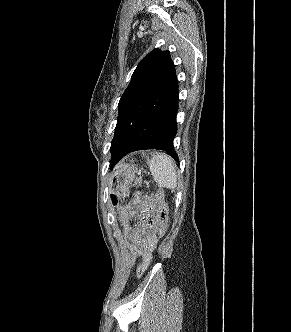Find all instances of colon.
Listing matches in <instances>:
<instances>
[{
	"label": "colon",
	"instance_id": "5ec220e1",
	"mask_svg": "<svg viewBox=\"0 0 291 332\" xmlns=\"http://www.w3.org/2000/svg\"><path fill=\"white\" fill-rule=\"evenodd\" d=\"M139 217L142 226L149 228L157 223L161 233L167 230V208L162 190L156 192L155 198H144L139 207Z\"/></svg>",
	"mask_w": 291,
	"mask_h": 332
}]
</instances>
